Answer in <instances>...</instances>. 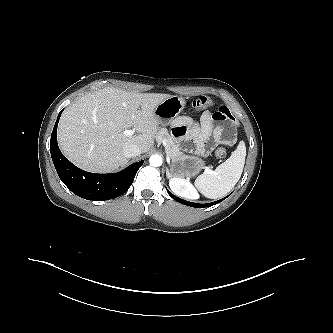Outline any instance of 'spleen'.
Returning a JSON list of instances; mask_svg holds the SVG:
<instances>
[{"mask_svg": "<svg viewBox=\"0 0 333 333\" xmlns=\"http://www.w3.org/2000/svg\"><path fill=\"white\" fill-rule=\"evenodd\" d=\"M246 146L241 141L230 158L220 164L212 173L201 174L195 180V187L207 198H222L239 181L245 163Z\"/></svg>", "mask_w": 333, "mask_h": 333, "instance_id": "spleen-1", "label": "spleen"}]
</instances>
